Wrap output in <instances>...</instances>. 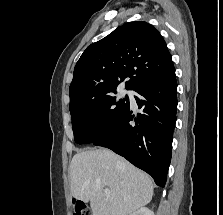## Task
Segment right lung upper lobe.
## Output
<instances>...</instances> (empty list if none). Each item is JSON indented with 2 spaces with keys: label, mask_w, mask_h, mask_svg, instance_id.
I'll return each instance as SVG.
<instances>
[{
  "label": "right lung upper lobe",
  "mask_w": 223,
  "mask_h": 215,
  "mask_svg": "<svg viewBox=\"0 0 223 215\" xmlns=\"http://www.w3.org/2000/svg\"><path fill=\"white\" fill-rule=\"evenodd\" d=\"M174 71L158 30L144 21L126 23L81 55L69 88L70 109L116 92L127 77L125 88L135 90Z\"/></svg>",
  "instance_id": "right-lung-upper-lobe-1"
}]
</instances>
